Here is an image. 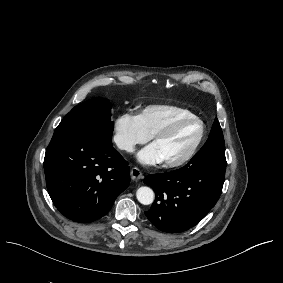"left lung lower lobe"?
I'll return each instance as SVG.
<instances>
[{
	"instance_id": "0a47b994",
	"label": "left lung lower lobe",
	"mask_w": 283,
	"mask_h": 283,
	"mask_svg": "<svg viewBox=\"0 0 283 283\" xmlns=\"http://www.w3.org/2000/svg\"><path fill=\"white\" fill-rule=\"evenodd\" d=\"M225 169V148L204 145L183 168L146 176L144 183L156 194L152 207L145 212L148 220L167 233L193 227L219 199Z\"/></svg>"
}]
</instances>
